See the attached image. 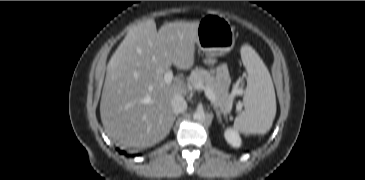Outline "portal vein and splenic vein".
I'll return each instance as SVG.
<instances>
[{"label":"portal vein and splenic vein","mask_w":365,"mask_h":180,"mask_svg":"<svg viewBox=\"0 0 365 180\" xmlns=\"http://www.w3.org/2000/svg\"><path fill=\"white\" fill-rule=\"evenodd\" d=\"M164 81L167 84H171L173 82V72L171 70H168L164 74ZM204 90H205L206 97L211 101V103L215 104L216 103V96L213 94V92L209 89H204Z\"/></svg>","instance_id":"portal-vein-and-splenic-vein-1"}]
</instances>
